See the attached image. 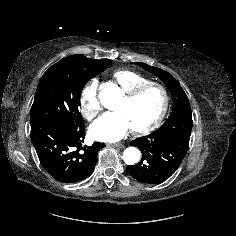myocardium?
Wrapping results in <instances>:
<instances>
[{
  "mask_svg": "<svg viewBox=\"0 0 236 236\" xmlns=\"http://www.w3.org/2000/svg\"><path fill=\"white\" fill-rule=\"evenodd\" d=\"M150 88H157L161 91L162 96H163V104H162V107L158 116L155 118L153 122L141 128H132L133 133L138 134V135L148 134L160 126L169 108L170 97H169L168 90L161 83L150 81V82L141 84L125 92L124 94V98L127 101H132V100H135L137 97H139L142 93H144L146 90Z\"/></svg>",
  "mask_w": 236,
  "mask_h": 236,
  "instance_id": "myocardium-1",
  "label": "myocardium"
}]
</instances>
